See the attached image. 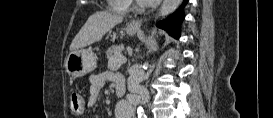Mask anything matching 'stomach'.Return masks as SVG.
Masks as SVG:
<instances>
[{
    "label": "stomach",
    "mask_w": 273,
    "mask_h": 118,
    "mask_svg": "<svg viewBox=\"0 0 273 118\" xmlns=\"http://www.w3.org/2000/svg\"><path fill=\"white\" fill-rule=\"evenodd\" d=\"M137 31L138 28L132 26L126 28V32L130 35L135 34ZM65 66L69 75L73 78H79L92 72L96 68V56L90 48H80L70 52L66 59Z\"/></svg>",
    "instance_id": "1"
}]
</instances>
